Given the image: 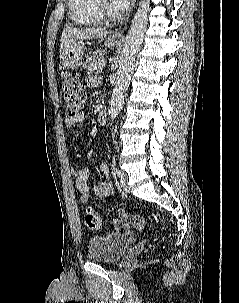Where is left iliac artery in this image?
Returning <instances> with one entry per match:
<instances>
[{
    "label": "left iliac artery",
    "instance_id": "obj_1",
    "mask_svg": "<svg viewBox=\"0 0 239 303\" xmlns=\"http://www.w3.org/2000/svg\"><path fill=\"white\" fill-rule=\"evenodd\" d=\"M116 174H117V176L119 177V176H120V170H117V171H116Z\"/></svg>",
    "mask_w": 239,
    "mask_h": 303
}]
</instances>
